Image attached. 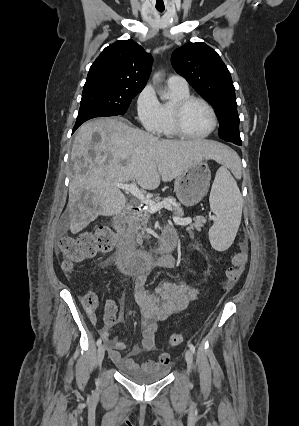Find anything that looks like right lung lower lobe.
<instances>
[{
  "label": "right lung lower lobe",
  "instance_id": "1",
  "mask_svg": "<svg viewBox=\"0 0 299 426\" xmlns=\"http://www.w3.org/2000/svg\"><path fill=\"white\" fill-rule=\"evenodd\" d=\"M108 116H115L110 113L101 111V110H89L83 113H79L78 117L76 119L75 126L73 128V132L85 121L95 118V117H108Z\"/></svg>",
  "mask_w": 299,
  "mask_h": 426
}]
</instances>
